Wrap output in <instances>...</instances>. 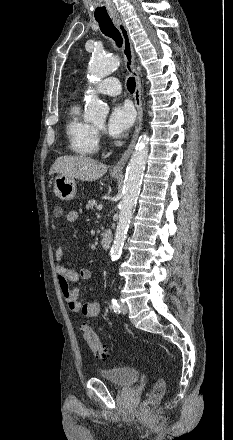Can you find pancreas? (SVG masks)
I'll return each instance as SVG.
<instances>
[{
	"label": "pancreas",
	"mask_w": 233,
	"mask_h": 440,
	"mask_svg": "<svg viewBox=\"0 0 233 440\" xmlns=\"http://www.w3.org/2000/svg\"><path fill=\"white\" fill-rule=\"evenodd\" d=\"M97 205V202H96V200H89L88 201V203H87V205H86V209L87 210H89V209H93L94 208V206H96Z\"/></svg>",
	"instance_id": "1"
}]
</instances>
